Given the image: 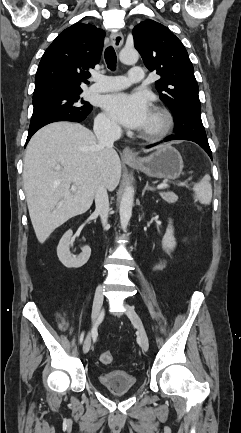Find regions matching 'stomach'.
Segmentation results:
<instances>
[{"mask_svg": "<svg viewBox=\"0 0 241 433\" xmlns=\"http://www.w3.org/2000/svg\"><path fill=\"white\" fill-rule=\"evenodd\" d=\"M126 163L149 177L170 180L177 179L184 166L180 153L169 144L159 146L148 157L138 158L134 162L126 161Z\"/></svg>", "mask_w": 241, "mask_h": 433, "instance_id": "0dacf381", "label": "stomach"}]
</instances>
